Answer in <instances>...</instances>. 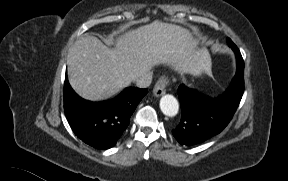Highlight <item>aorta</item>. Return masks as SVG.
<instances>
[{"label": "aorta", "mask_w": 288, "mask_h": 181, "mask_svg": "<svg viewBox=\"0 0 288 181\" xmlns=\"http://www.w3.org/2000/svg\"><path fill=\"white\" fill-rule=\"evenodd\" d=\"M160 109L164 115L174 117L179 110L177 99L169 94L162 96L160 99Z\"/></svg>", "instance_id": "aorta-1"}]
</instances>
